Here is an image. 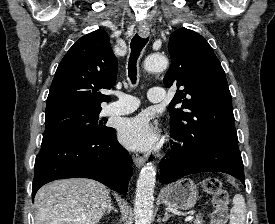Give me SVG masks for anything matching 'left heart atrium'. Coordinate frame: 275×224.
Returning a JSON list of instances; mask_svg holds the SVG:
<instances>
[{
    "instance_id": "39dd6f15",
    "label": "left heart atrium",
    "mask_w": 275,
    "mask_h": 224,
    "mask_svg": "<svg viewBox=\"0 0 275 224\" xmlns=\"http://www.w3.org/2000/svg\"><path fill=\"white\" fill-rule=\"evenodd\" d=\"M119 139L134 150H147L157 142L154 129L144 115L124 120L119 126Z\"/></svg>"
}]
</instances>
